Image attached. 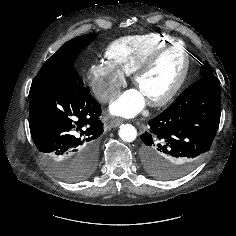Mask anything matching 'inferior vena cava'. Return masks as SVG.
I'll return each instance as SVG.
<instances>
[{"label": "inferior vena cava", "mask_w": 236, "mask_h": 236, "mask_svg": "<svg viewBox=\"0 0 236 236\" xmlns=\"http://www.w3.org/2000/svg\"><path fill=\"white\" fill-rule=\"evenodd\" d=\"M113 97L112 93H105L101 96V100L103 102H107L108 100H110Z\"/></svg>", "instance_id": "602c4592"}]
</instances>
